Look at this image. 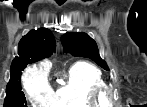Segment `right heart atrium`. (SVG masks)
<instances>
[{
  "label": "right heart atrium",
  "mask_w": 147,
  "mask_h": 107,
  "mask_svg": "<svg viewBox=\"0 0 147 107\" xmlns=\"http://www.w3.org/2000/svg\"><path fill=\"white\" fill-rule=\"evenodd\" d=\"M24 87L32 104L43 105L51 99L47 70L43 67H34L28 71L24 78Z\"/></svg>",
  "instance_id": "right-heart-atrium-1"
}]
</instances>
